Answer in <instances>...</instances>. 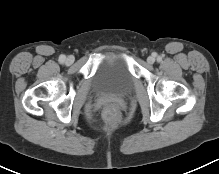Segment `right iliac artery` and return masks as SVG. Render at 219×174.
I'll return each instance as SVG.
<instances>
[{"label": "right iliac artery", "instance_id": "1", "mask_svg": "<svg viewBox=\"0 0 219 174\" xmlns=\"http://www.w3.org/2000/svg\"><path fill=\"white\" fill-rule=\"evenodd\" d=\"M65 59H66V57H65L64 55H61V56L59 57L60 63H63V62L65 61Z\"/></svg>", "mask_w": 219, "mask_h": 174}]
</instances>
